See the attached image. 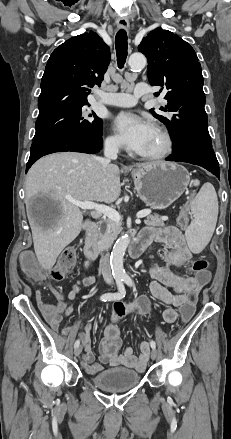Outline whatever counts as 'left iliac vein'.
<instances>
[{
	"label": "left iliac vein",
	"instance_id": "left-iliac-vein-1",
	"mask_svg": "<svg viewBox=\"0 0 231 439\" xmlns=\"http://www.w3.org/2000/svg\"><path fill=\"white\" fill-rule=\"evenodd\" d=\"M158 356L156 349H152L151 351V359L155 360Z\"/></svg>",
	"mask_w": 231,
	"mask_h": 439
}]
</instances>
